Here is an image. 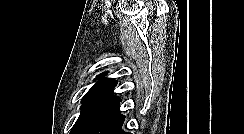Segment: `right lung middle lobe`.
I'll use <instances>...</instances> for the list:
<instances>
[{"label":"right lung middle lobe","instance_id":"right-lung-middle-lobe-1","mask_svg":"<svg viewBox=\"0 0 244 134\" xmlns=\"http://www.w3.org/2000/svg\"><path fill=\"white\" fill-rule=\"evenodd\" d=\"M120 101L109 100L82 105L70 134H110L123 119Z\"/></svg>","mask_w":244,"mask_h":134}]
</instances>
